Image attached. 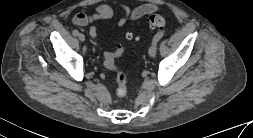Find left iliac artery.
Here are the masks:
<instances>
[{"instance_id": "obj_1", "label": "left iliac artery", "mask_w": 253, "mask_h": 138, "mask_svg": "<svg viewBox=\"0 0 253 138\" xmlns=\"http://www.w3.org/2000/svg\"><path fill=\"white\" fill-rule=\"evenodd\" d=\"M164 33L163 32H158L154 38H153V42H158L162 37H163Z\"/></svg>"}]
</instances>
